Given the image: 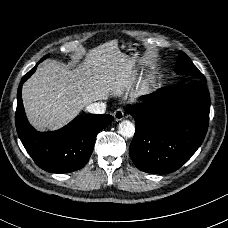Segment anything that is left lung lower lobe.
<instances>
[{
	"mask_svg": "<svg viewBox=\"0 0 228 228\" xmlns=\"http://www.w3.org/2000/svg\"><path fill=\"white\" fill-rule=\"evenodd\" d=\"M130 106L135 135L129 148L135 166L168 174L180 168L202 144L209 123L210 95L203 82L172 85Z\"/></svg>",
	"mask_w": 228,
	"mask_h": 228,
	"instance_id": "obj_1",
	"label": "left lung lower lobe"
}]
</instances>
